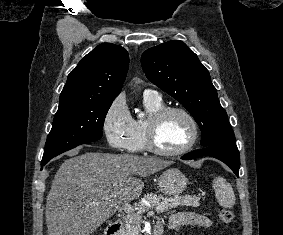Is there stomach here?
I'll list each match as a JSON object with an SVG mask.
<instances>
[{
    "instance_id": "stomach-1",
    "label": "stomach",
    "mask_w": 283,
    "mask_h": 235,
    "mask_svg": "<svg viewBox=\"0 0 283 235\" xmlns=\"http://www.w3.org/2000/svg\"><path fill=\"white\" fill-rule=\"evenodd\" d=\"M187 177L177 168L166 169L158 179L159 190L168 196L181 194L186 186Z\"/></svg>"
}]
</instances>
